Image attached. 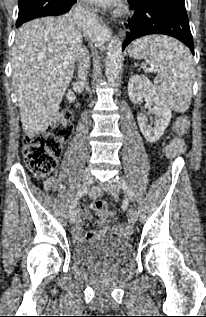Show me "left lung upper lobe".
Returning a JSON list of instances; mask_svg holds the SVG:
<instances>
[{"instance_id":"obj_1","label":"left lung upper lobe","mask_w":206,"mask_h":317,"mask_svg":"<svg viewBox=\"0 0 206 317\" xmlns=\"http://www.w3.org/2000/svg\"><path fill=\"white\" fill-rule=\"evenodd\" d=\"M133 1H136V0H133ZM171 1L184 4V0H171Z\"/></svg>"}]
</instances>
